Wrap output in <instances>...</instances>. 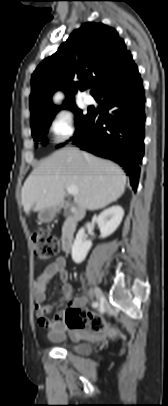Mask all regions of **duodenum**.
<instances>
[{
    "label": "duodenum",
    "instance_id": "1",
    "mask_svg": "<svg viewBox=\"0 0 168 406\" xmlns=\"http://www.w3.org/2000/svg\"><path fill=\"white\" fill-rule=\"evenodd\" d=\"M69 207H70V204L67 202H61L57 205V209H59V210H63V209L69 208ZM83 216H84V214H83L82 210L76 208L73 210V212L68 217V219L65 223L62 238H61V244H62V248L64 251L70 250L77 225L82 220Z\"/></svg>",
    "mask_w": 168,
    "mask_h": 406
}]
</instances>
